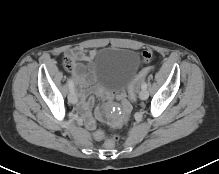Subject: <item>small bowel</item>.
<instances>
[{"label":"small bowel","mask_w":219,"mask_h":174,"mask_svg":"<svg viewBox=\"0 0 219 174\" xmlns=\"http://www.w3.org/2000/svg\"><path fill=\"white\" fill-rule=\"evenodd\" d=\"M97 54H98L97 50L94 49L84 50L81 48H72L68 50L66 53L67 57L72 61L74 78L80 89L79 108L86 116V126L89 129H93L95 127V120L89 117V113L93 105V98L90 97L86 99L87 96L90 94V91L87 90L86 88L91 84L92 76L89 70L87 69V67L83 65L82 62H91ZM143 60L146 63H153L156 60V53L153 50H146L143 53ZM100 94L103 97H107L105 93L100 92ZM121 107L123 112L122 117L110 123L111 129H123L132 120V111L130 110L128 102L122 101ZM97 115L101 117L102 115L101 109L98 111Z\"/></svg>","instance_id":"1"}]
</instances>
